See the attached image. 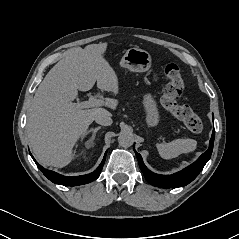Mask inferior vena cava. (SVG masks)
Returning a JSON list of instances; mask_svg holds the SVG:
<instances>
[{
	"label": "inferior vena cava",
	"mask_w": 239,
	"mask_h": 239,
	"mask_svg": "<svg viewBox=\"0 0 239 239\" xmlns=\"http://www.w3.org/2000/svg\"><path fill=\"white\" fill-rule=\"evenodd\" d=\"M94 120L96 121V123L103 126H109L113 122L111 118V114L105 109L97 113L94 117Z\"/></svg>",
	"instance_id": "602c4592"
}]
</instances>
